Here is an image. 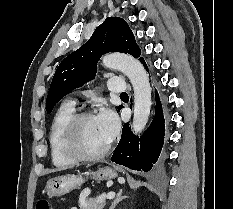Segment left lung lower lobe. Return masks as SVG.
Masks as SVG:
<instances>
[{"label":"left lung lower lobe","mask_w":233,"mask_h":209,"mask_svg":"<svg viewBox=\"0 0 233 209\" xmlns=\"http://www.w3.org/2000/svg\"><path fill=\"white\" fill-rule=\"evenodd\" d=\"M147 70L143 58L140 59ZM155 116L148 130L140 139L135 136L128 123L123 125L121 140L111 160L137 171H149L159 158L164 142V116L159 96L155 92Z\"/></svg>","instance_id":"obj_1"}]
</instances>
